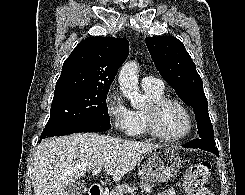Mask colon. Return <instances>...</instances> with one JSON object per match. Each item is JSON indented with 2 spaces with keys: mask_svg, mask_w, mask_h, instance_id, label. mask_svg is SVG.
I'll return each instance as SVG.
<instances>
[{
  "mask_svg": "<svg viewBox=\"0 0 245 195\" xmlns=\"http://www.w3.org/2000/svg\"><path fill=\"white\" fill-rule=\"evenodd\" d=\"M211 163L201 161L190 166L185 174L183 188L186 195H213L207 188L211 175Z\"/></svg>",
  "mask_w": 245,
  "mask_h": 195,
  "instance_id": "colon-1",
  "label": "colon"
}]
</instances>
